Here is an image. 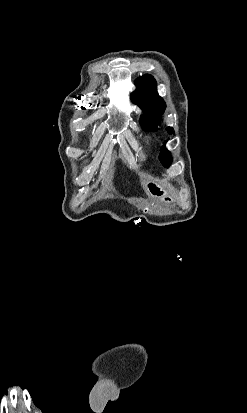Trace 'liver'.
Returning a JSON list of instances; mask_svg holds the SVG:
<instances>
[{
	"label": "liver",
	"mask_w": 247,
	"mask_h": 413,
	"mask_svg": "<svg viewBox=\"0 0 247 413\" xmlns=\"http://www.w3.org/2000/svg\"><path fill=\"white\" fill-rule=\"evenodd\" d=\"M149 178H151V176H149ZM142 184H145L144 180H143Z\"/></svg>",
	"instance_id": "obj_1"
}]
</instances>
